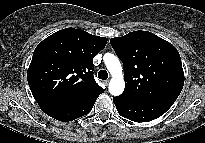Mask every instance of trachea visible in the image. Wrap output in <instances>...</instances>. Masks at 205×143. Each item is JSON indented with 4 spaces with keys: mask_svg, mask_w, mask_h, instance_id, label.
Masks as SVG:
<instances>
[{
    "mask_svg": "<svg viewBox=\"0 0 205 143\" xmlns=\"http://www.w3.org/2000/svg\"><path fill=\"white\" fill-rule=\"evenodd\" d=\"M98 78L102 80H106L108 78V73L106 70H100L98 73Z\"/></svg>",
    "mask_w": 205,
    "mask_h": 143,
    "instance_id": "1",
    "label": "trachea"
}]
</instances>
